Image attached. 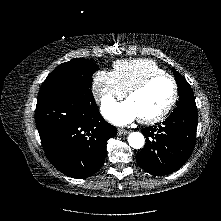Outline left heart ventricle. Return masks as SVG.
<instances>
[{
  "label": "left heart ventricle",
  "instance_id": "b2bd125f",
  "mask_svg": "<svg viewBox=\"0 0 221 221\" xmlns=\"http://www.w3.org/2000/svg\"><path fill=\"white\" fill-rule=\"evenodd\" d=\"M173 86L169 79L159 78L144 90L131 95L128 100L139 118L152 117L161 112L172 97Z\"/></svg>",
  "mask_w": 221,
  "mask_h": 221
}]
</instances>
